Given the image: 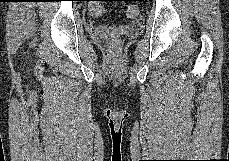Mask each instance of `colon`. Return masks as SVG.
<instances>
[{"mask_svg":"<svg viewBox=\"0 0 229 161\" xmlns=\"http://www.w3.org/2000/svg\"><path fill=\"white\" fill-rule=\"evenodd\" d=\"M90 14L94 17H100L105 13V8L101 1L93 0L89 5ZM126 15L129 18H136L139 15V9L136 5H130L126 9ZM109 46L112 50H116L119 47V41L112 39L109 42Z\"/></svg>","mask_w":229,"mask_h":161,"instance_id":"5ec220e1","label":"colon"}]
</instances>
